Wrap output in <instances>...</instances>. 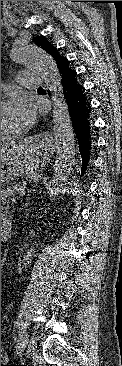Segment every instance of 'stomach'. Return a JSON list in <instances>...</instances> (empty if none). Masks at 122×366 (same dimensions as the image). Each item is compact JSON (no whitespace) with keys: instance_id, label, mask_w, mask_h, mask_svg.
Masks as SVG:
<instances>
[{"instance_id":"obj_1","label":"stomach","mask_w":122,"mask_h":366,"mask_svg":"<svg viewBox=\"0 0 122 366\" xmlns=\"http://www.w3.org/2000/svg\"><path fill=\"white\" fill-rule=\"evenodd\" d=\"M30 148L36 149L37 143L34 140L28 141ZM24 150L11 151L1 157V184L10 181L18 175L20 165L23 162Z\"/></svg>"}]
</instances>
